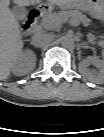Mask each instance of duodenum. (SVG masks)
Returning a JSON list of instances; mask_svg holds the SVG:
<instances>
[{
  "label": "duodenum",
  "mask_w": 104,
  "mask_h": 137,
  "mask_svg": "<svg viewBox=\"0 0 104 137\" xmlns=\"http://www.w3.org/2000/svg\"><path fill=\"white\" fill-rule=\"evenodd\" d=\"M50 7L46 4L39 5L32 9L23 24V31L26 34H32L34 32L35 24L38 18L49 12Z\"/></svg>",
  "instance_id": "1"
}]
</instances>
